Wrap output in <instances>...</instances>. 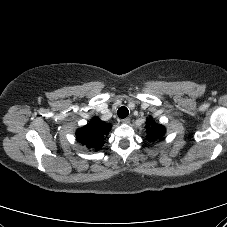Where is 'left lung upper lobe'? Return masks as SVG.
Listing matches in <instances>:
<instances>
[{
	"label": "left lung upper lobe",
	"mask_w": 227,
	"mask_h": 227,
	"mask_svg": "<svg viewBox=\"0 0 227 227\" xmlns=\"http://www.w3.org/2000/svg\"><path fill=\"white\" fill-rule=\"evenodd\" d=\"M146 123H147L146 139L150 142L161 140V138L165 135V131H166L165 127L163 125L155 124L153 122L152 117H149Z\"/></svg>",
	"instance_id": "5c2ea615"
}]
</instances>
